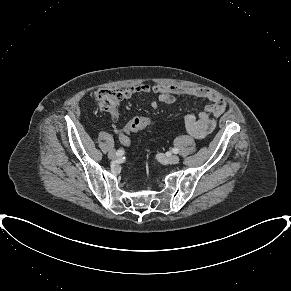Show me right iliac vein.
Listing matches in <instances>:
<instances>
[{
    "label": "right iliac vein",
    "instance_id": "63e3f726",
    "mask_svg": "<svg viewBox=\"0 0 291 291\" xmlns=\"http://www.w3.org/2000/svg\"><path fill=\"white\" fill-rule=\"evenodd\" d=\"M118 157V155L116 154V152H114V151H110L109 153H108V158L109 159H116Z\"/></svg>",
    "mask_w": 291,
    "mask_h": 291
}]
</instances>
